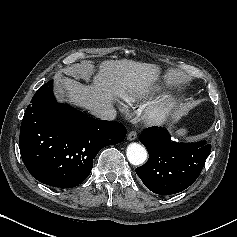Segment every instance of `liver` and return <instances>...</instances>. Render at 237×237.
Masks as SVG:
<instances>
[{
    "label": "liver",
    "mask_w": 237,
    "mask_h": 237,
    "mask_svg": "<svg viewBox=\"0 0 237 237\" xmlns=\"http://www.w3.org/2000/svg\"><path fill=\"white\" fill-rule=\"evenodd\" d=\"M98 65L91 85L67 77L59 78L58 88L69 102L89 111L112 107L115 96L147 92L160 71L154 64L128 59L103 61Z\"/></svg>",
    "instance_id": "6515ba94"
}]
</instances>
